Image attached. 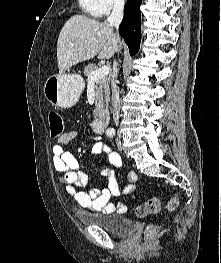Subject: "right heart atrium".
Returning a JSON list of instances; mask_svg holds the SVG:
<instances>
[{
	"label": "right heart atrium",
	"mask_w": 221,
	"mask_h": 263,
	"mask_svg": "<svg viewBox=\"0 0 221 263\" xmlns=\"http://www.w3.org/2000/svg\"><path fill=\"white\" fill-rule=\"evenodd\" d=\"M99 15H107L110 12L120 9L124 0H95Z\"/></svg>",
	"instance_id": "d8ad5b80"
}]
</instances>
